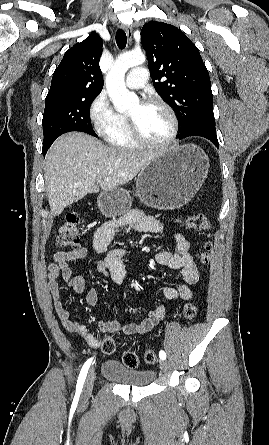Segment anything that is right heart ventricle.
<instances>
[{"label":"right heart ventricle","instance_id":"right-heart-ventricle-1","mask_svg":"<svg viewBox=\"0 0 269 445\" xmlns=\"http://www.w3.org/2000/svg\"><path fill=\"white\" fill-rule=\"evenodd\" d=\"M103 134L107 142L116 148L133 150L139 146L132 137L127 116L124 114L117 113L115 120Z\"/></svg>","mask_w":269,"mask_h":445}]
</instances>
